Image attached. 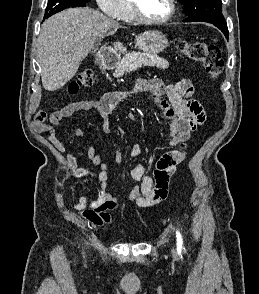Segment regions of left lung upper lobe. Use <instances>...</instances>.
Listing matches in <instances>:
<instances>
[{
	"label": "left lung upper lobe",
	"mask_w": 259,
	"mask_h": 294,
	"mask_svg": "<svg viewBox=\"0 0 259 294\" xmlns=\"http://www.w3.org/2000/svg\"><path fill=\"white\" fill-rule=\"evenodd\" d=\"M184 7V12L192 21L225 22L222 14L221 0H178Z\"/></svg>",
	"instance_id": "obj_1"
}]
</instances>
